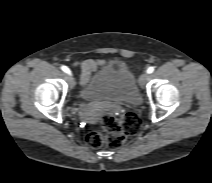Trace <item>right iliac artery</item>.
<instances>
[{
  "mask_svg": "<svg viewBox=\"0 0 212 183\" xmlns=\"http://www.w3.org/2000/svg\"><path fill=\"white\" fill-rule=\"evenodd\" d=\"M62 71H64L67 74H71L70 69L67 66H61Z\"/></svg>",
  "mask_w": 212,
  "mask_h": 183,
  "instance_id": "82829eb1",
  "label": "right iliac artery"
}]
</instances>
